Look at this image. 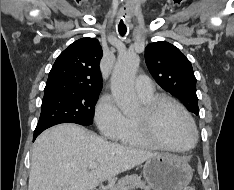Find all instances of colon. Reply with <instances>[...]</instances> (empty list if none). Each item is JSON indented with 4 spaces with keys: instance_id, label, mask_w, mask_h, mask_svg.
<instances>
[{
    "instance_id": "obj_1",
    "label": "colon",
    "mask_w": 234,
    "mask_h": 190,
    "mask_svg": "<svg viewBox=\"0 0 234 190\" xmlns=\"http://www.w3.org/2000/svg\"><path fill=\"white\" fill-rule=\"evenodd\" d=\"M184 190H196V189L194 187L189 186V187H186Z\"/></svg>"
}]
</instances>
